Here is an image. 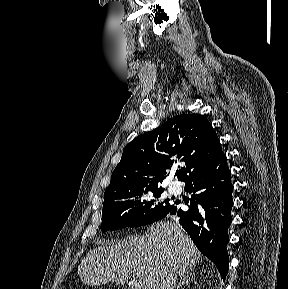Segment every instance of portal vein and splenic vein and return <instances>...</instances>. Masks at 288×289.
<instances>
[{"label":"portal vein and splenic vein","instance_id":"obj_1","mask_svg":"<svg viewBox=\"0 0 288 289\" xmlns=\"http://www.w3.org/2000/svg\"><path fill=\"white\" fill-rule=\"evenodd\" d=\"M132 289H140V284L137 281H134L132 284Z\"/></svg>","mask_w":288,"mask_h":289}]
</instances>
